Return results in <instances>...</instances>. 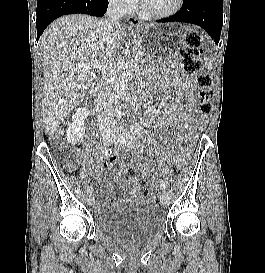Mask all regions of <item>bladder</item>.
I'll return each mask as SVG.
<instances>
[{
	"label": "bladder",
	"mask_w": 265,
	"mask_h": 273,
	"mask_svg": "<svg viewBox=\"0 0 265 273\" xmlns=\"http://www.w3.org/2000/svg\"><path fill=\"white\" fill-rule=\"evenodd\" d=\"M100 233L112 241L133 248L158 237L165 222L160 208L155 204H126L109 215L96 220Z\"/></svg>",
	"instance_id": "1"
}]
</instances>
